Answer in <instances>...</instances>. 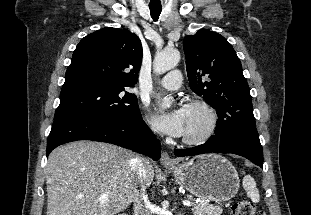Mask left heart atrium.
I'll use <instances>...</instances> for the list:
<instances>
[{
	"label": "left heart atrium",
	"mask_w": 311,
	"mask_h": 215,
	"mask_svg": "<svg viewBox=\"0 0 311 215\" xmlns=\"http://www.w3.org/2000/svg\"><path fill=\"white\" fill-rule=\"evenodd\" d=\"M154 120L159 128L172 136L184 135L187 124V115L184 107L166 109L157 103L154 107Z\"/></svg>",
	"instance_id": "obj_1"
}]
</instances>
